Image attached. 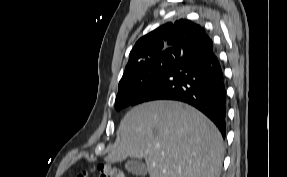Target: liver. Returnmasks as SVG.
<instances>
[{
  "instance_id": "6515ba94",
  "label": "liver",
  "mask_w": 287,
  "mask_h": 177,
  "mask_svg": "<svg viewBox=\"0 0 287 177\" xmlns=\"http://www.w3.org/2000/svg\"><path fill=\"white\" fill-rule=\"evenodd\" d=\"M144 158L150 177H218L224 157L216 126L195 108L152 101L122 119L105 161Z\"/></svg>"
}]
</instances>
